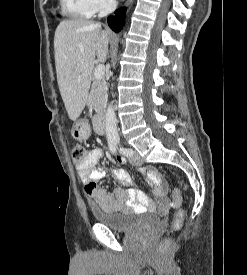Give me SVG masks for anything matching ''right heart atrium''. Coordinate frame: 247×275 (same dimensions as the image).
Segmentation results:
<instances>
[{"instance_id": "1", "label": "right heart atrium", "mask_w": 247, "mask_h": 275, "mask_svg": "<svg viewBox=\"0 0 247 275\" xmlns=\"http://www.w3.org/2000/svg\"><path fill=\"white\" fill-rule=\"evenodd\" d=\"M95 10L103 12L111 6V0H94Z\"/></svg>"}]
</instances>
